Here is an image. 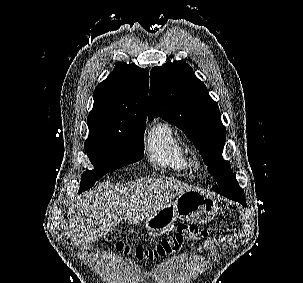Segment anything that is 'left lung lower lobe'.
<instances>
[{
	"label": "left lung lower lobe",
	"mask_w": 303,
	"mask_h": 283,
	"mask_svg": "<svg viewBox=\"0 0 303 283\" xmlns=\"http://www.w3.org/2000/svg\"><path fill=\"white\" fill-rule=\"evenodd\" d=\"M221 195L237 201L239 203H241L244 207L246 206V201H245V196L240 194V193H236V192H223Z\"/></svg>",
	"instance_id": "1"
}]
</instances>
